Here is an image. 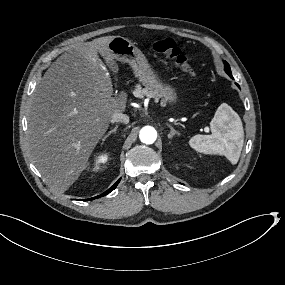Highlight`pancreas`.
<instances>
[{
  "label": "pancreas",
  "mask_w": 285,
  "mask_h": 285,
  "mask_svg": "<svg viewBox=\"0 0 285 285\" xmlns=\"http://www.w3.org/2000/svg\"><path fill=\"white\" fill-rule=\"evenodd\" d=\"M134 95L137 96V97H140V98H142L143 95H146L147 98H157V99H159L156 90H147V89H145V90L141 91L140 87H138L134 91Z\"/></svg>",
  "instance_id": "1"
}]
</instances>
